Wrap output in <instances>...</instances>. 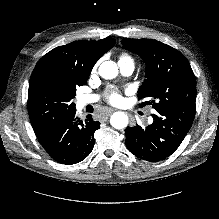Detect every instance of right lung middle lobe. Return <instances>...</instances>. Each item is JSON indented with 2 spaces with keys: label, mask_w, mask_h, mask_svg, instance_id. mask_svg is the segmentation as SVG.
<instances>
[{
  "label": "right lung middle lobe",
  "mask_w": 219,
  "mask_h": 219,
  "mask_svg": "<svg viewBox=\"0 0 219 219\" xmlns=\"http://www.w3.org/2000/svg\"><path fill=\"white\" fill-rule=\"evenodd\" d=\"M76 88L66 89L44 76L31 77L28 91L29 117L48 119L75 109Z\"/></svg>",
  "instance_id": "1"
}]
</instances>
